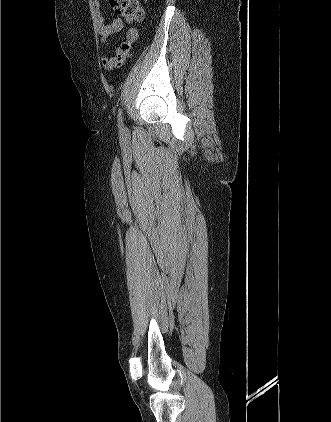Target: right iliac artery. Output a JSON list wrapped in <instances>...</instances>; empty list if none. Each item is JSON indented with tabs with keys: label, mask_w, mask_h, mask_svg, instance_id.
I'll return each instance as SVG.
<instances>
[{
	"label": "right iliac artery",
	"mask_w": 331,
	"mask_h": 422,
	"mask_svg": "<svg viewBox=\"0 0 331 422\" xmlns=\"http://www.w3.org/2000/svg\"><path fill=\"white\" fill-rule=\"evenodd\" d=\"M118 127L122 131L124 130L123 120H122V114L121 110H119V116H118Z\"/></svg>",
	"instance_id": "82829eb1"
}]
</instances>
